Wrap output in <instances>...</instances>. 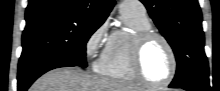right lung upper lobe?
Wrapping results in <instances>:
<instances>
[{
    "label": "right lung upper lobe",
    "mask_w": 220,
    "mask_h": 91,
    "mask_svg": "<svg viewBox=\"0 0 220 91\" xmlns=\"http://www.w3.org/2000/svg\"><path fill=\"white\" fill-rule=\"evenodd\" d=\"M114 0H29L27 24L54 18H74L103 24Z\"/></svg>",
    "instance_id": "right-lung-upper-lobe-1"
}]
</instances>
